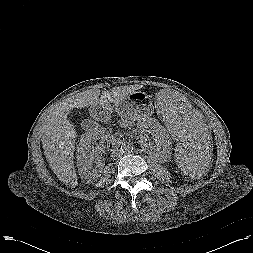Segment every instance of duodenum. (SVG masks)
I'll list each match as a JSON object with an SVG mask.
<instances>
[{
  "label": "duodenum",
  "instance_id": "410a0bca",
  "mask_svg": "<svg viewBox=\"0 0 253 253\" xmlns=\"http://www.w3.org/2000/svg\"><path fill=\"white\" fill-rule=\"evenodd\" d=\"M92 110H93L94 113L98 114V116L103 115L104 112H105V108L101 105L94 106ZM93 128H94L93 126H88L86 129L87 130H92Z\"/></svg>",
  "mask_w": 253,
  "mask_h": 253
}]
</instances>
